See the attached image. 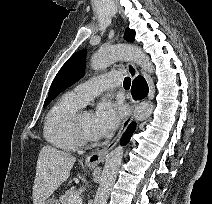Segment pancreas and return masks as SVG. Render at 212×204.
Wrapping results in <instances>:
<instances>
[{"mask_svg":"<svg viewBox=\"0 0 212 204\" xmlns=\"http://www.w3.org/2000/svg\"><path fill=\"white\" fill-rule=\"evenodd\" d=\"M78 195H79L78 191L74 189H70V190H67L64 195L60 196L59 201L61 204H68L69 200L72 197L78 196Z\"/></svg>","mask_w":212,"mask_h":204,"instance_id":"pancreas-1","label":"pancreas"}]
</instances>
